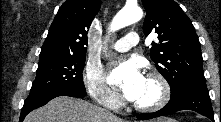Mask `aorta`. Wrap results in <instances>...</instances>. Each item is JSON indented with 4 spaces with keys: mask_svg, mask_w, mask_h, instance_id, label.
Instances as JSON below:
<instances>
[{
    "mask_svg": "<svg viewBox=\"0 0 221 122\" xmlns=\"http://www.w3.org/2000/svg\"><path fill=\"white\" fill-rule=\"evenodd\" d=\"M143 16V11L138 6H125L113 18L110 30L116 31L134 22L139 21Z\"/></svg>",
    "mask_w": 221,
    "mask_h": 122,
    "instance_id": "1",
    "label": "aorta"
}]
</instances>
